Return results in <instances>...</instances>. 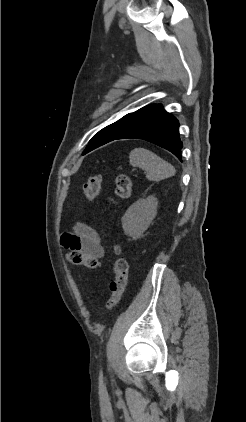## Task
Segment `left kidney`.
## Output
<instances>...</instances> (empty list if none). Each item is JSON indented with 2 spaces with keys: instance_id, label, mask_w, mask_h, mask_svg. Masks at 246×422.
<instances>
[{
  "instance_id": "left-kidney-1",
  "label": "left kidney",
  "mask_w": 246,
  "mask_h": 422,
  "mask_svg": "<svg viewBox=\"0 0 246 422\" xmlns=\"http://www.w3.org/2000/svg\"><path fill=\"white\" fill-rule=\"evenodd\" d=\"M158 200L148 196L133 203L122 217L125 235L138 239L148 229L157 214Z\"/></svg>"
}]
</instances>
